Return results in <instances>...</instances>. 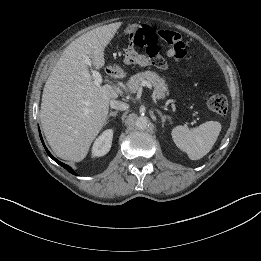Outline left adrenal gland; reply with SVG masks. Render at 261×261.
Instances as JSON below:
<instances>
[{
    "instance_id": "left-adrenal-gland-1",
    "label": "left adrenal gland",
    "mask_w": 261,
    "mask_h": 261,
    "mask_svg": "<svg viewBox=\"0 0 261 261\" xmlns=\"http://www.w3.org/2000/svg\"><path fill=\"white\" fill-rule=\"evenodd\" d=\"M156 111H157V113H158V114L160 115V117H161L162 127H164V124H165V121H166V120L171 121V118H170L169 116L162 114V112L159 111V110H156Z\"/></svg>"
}]
</instances>
